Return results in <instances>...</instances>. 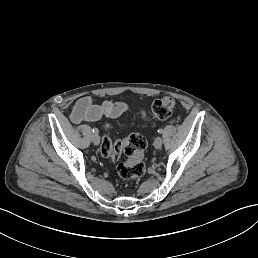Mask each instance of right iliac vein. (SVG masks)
<instances>
[{
    "label": "right iliac vein",
    "instance_id": "obj_1",
    "mask_svg": "<svg viewBox=\"0 0 258 258\" xmlns=\"http://www.w3.org/2000/svg\"><path fill=\"white\" fill-rule=\"evenodd\" d=\"M92 140L96 144L99 143L100 142V135L99 134H94Z\"/></svg>",
    "mask_w": 258,
    "mask_h": 258
}]
</instances>
